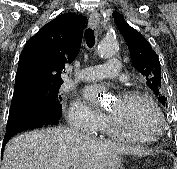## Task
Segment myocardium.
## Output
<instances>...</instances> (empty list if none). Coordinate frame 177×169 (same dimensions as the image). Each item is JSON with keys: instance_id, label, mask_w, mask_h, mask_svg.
<instances>
[{"instance_id": "f54148a6", "label": "myocardium", "mask_w": 177, "mask_h": 169, "mask_svg": "<svg viewBox=\"0 0 177 169\" xmlns=\"http://www.w3.org/2000/svg\"><path fill=\"white\" fill-rule=\"evenodd\" d=\"M120 96L126 98H139L147 102L157 112L161 121V129L152 136L131 135L127 133L126 129L124 128L123 124L120 122L118 118H116L112 114H109L108 115L109 120L117 132H119L124 138L137 140V141H154L163 134L166 125L165 117L159 105L154 101V99L150 95H148L147 93H145L144 91L138 88H127L120 93Z\"/></svg>"}]
</instances>
